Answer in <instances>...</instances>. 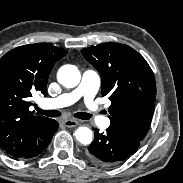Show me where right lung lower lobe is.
Instances as JSON below:
<instances>
[{"label": "right lung lower lobe", "instance_id": "1", "mask_svg": "<svg viewBox=\"0 0 183 183\" xmlns=\"http://www.w3.org/2000/svg\"><path fill=\"white\" fill-rule=\"evenodd\" d=\"M59 124L55 120H50L44 129L37 134L29 153L21 157L22 159H29L39 155L50 143L54 133L57 131Z\"/></svg>", "mask_w": 183, "mask_h": 183}]
</instances>
